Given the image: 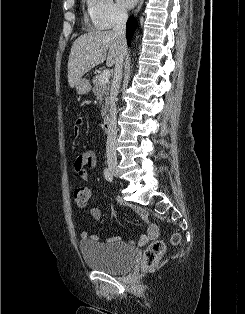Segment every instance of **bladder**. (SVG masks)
<instances>
[{
	"instance_id": "31cf9c89",
	"label": "bladder",
	"mask_w": 245,
	"mask_h": 314,
	"mask_svg": "<svg viewBox=\"0 0 245 314\" xmlns=\"http://www.w3.org/2000/svg\"><path fill=\"white\" fill-rule=\"evenodd\" d=\"M79 251L87 266L113 274L130 268L137 258V251L121 242L84 241Z\"/></svg>"
}]
</instances>
